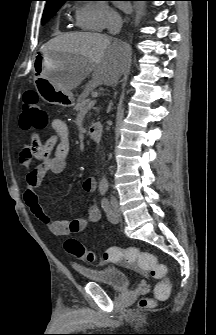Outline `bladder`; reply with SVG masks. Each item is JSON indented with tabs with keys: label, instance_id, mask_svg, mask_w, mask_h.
I'll return each mask as SVG.
<instances>
[{
	"label": "bladder",
	"instance_id": "bladder-1",
	"mask_svg": "<svg viewBox=\"0 0 216 335\" xmlns=\"http://www.w3.org/2000/svg\"><path fill=\"white\" fill-rule=\"evenodd\" d=\"M75 270L87 280L98 282L112 290H126L130 286L129 273L115 267H76Z\"/></svg>",
	"mask_w": 216,
	"mask_h": 335
}]
</instances>
